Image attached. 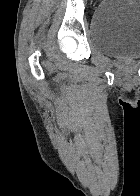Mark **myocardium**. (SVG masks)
<instances>
[{"label": "myocardium", "mask_w": 140, "mask_h": 196, "mask_svg": "<svg viewBox=\"0 0 140 196\" xmlns=\"http://www.w3.org/2000/svg\"><path fill=\"white\" fill-rule=\"evenodd\" d=\"M90 192H115V191H90Z\"/></svg>", "instance_id": "myocardium-1"}]
</instances>
